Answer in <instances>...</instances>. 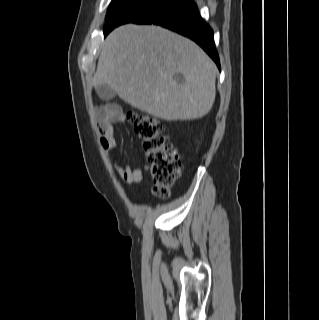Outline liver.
<instances>
[{
    "label": "liver",
    "instance_id": "obj_1",
    "mask_svg": "<svg viewBox=\"0 0 319 320\" xmlns=\"http://www.w3.org/2000/svg\"><path fill=\"white\" fill-rule=\"evenodd\" d=\"M181 74L184 83L174 76ZM217 68L193 41L158 26L126 24L106 38L93 76L134 108L166 120L205 116L216 96Z\"/></svg>",
    "mask_w": 319,
    "mask_h": 320
}]
</instances>
